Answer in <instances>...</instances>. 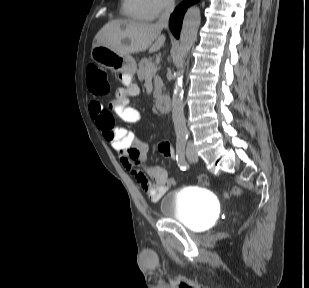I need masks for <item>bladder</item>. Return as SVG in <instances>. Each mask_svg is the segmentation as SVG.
I'll use <instances>...</instances> for the list:
<instances>
[{
  "label": "bladder",
  "mask_w": 309,
  "mask_h": 288,
  "mask_svg": "<svg viewBox=\"0 0 309 288\" xmlns=\"http://www.w3.org/2000/svg\"><path fill=\"white\" fill-rule=\"evenodd\" d=\"M159 209L163 219L175 218L189 229L204 230L216 219L217 202L206 189L187 186L166 192Z\"/></svg>",
  "instance_id": "obj_1"
}]
</instances>
